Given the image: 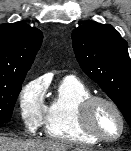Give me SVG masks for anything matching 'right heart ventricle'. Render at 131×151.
Masks as SVG:
<instances>
[{"label":"right heart ventricle","instance_id":"right-heart-ventricle-1","mask_svg":"<svg viewBox=\"0 0 131 151\" xmlns=\"http://www.w3.org/2000/svg\"><path fill=\"white\" fill-rule=\"evenodd\" d=\"M90 95L87 86L77 78H63L45 107L44 130L47 137L73 144H96L98 141L82 131L78 120L80 104Z\"/></svg>","mask_w":131,"mask_h":151}]
</instances>
